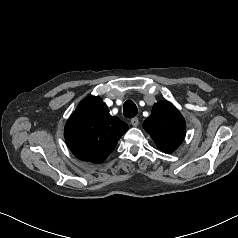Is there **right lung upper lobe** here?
Returning <instances> with one entry per match:
<instances>
[{
    "label": "right lung upper lobe",
    "instance_id": "obj_1",
    "mask_svg": "<svg viewBox=\"0 0 238 238\" xmlns=\"http://www.w3.org/2000/svg\"><path fill=\"white\" fill-rule=\"evenodd\" d=\"M128 125L111 116L98 96L80 102L68 119L64 136L71 152L80 160L101 163L116 147Z\"/></svg>",
    "mask_w": 238,
    "mask_h": 238
}]
</instances>
